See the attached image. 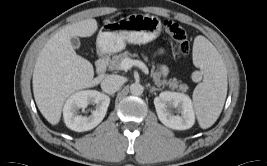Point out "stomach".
I'll return each mask as SVG.
<instances>
[{
	"instance_id": "1",
	"label": "stomach",
	"mask_w": 267,
	"mask_h": 166,
	"mask_svg": "<svg viewBox=\"0 0 267 166\" xmlns=\"http://www.w3.org/2000/svg\"><path fill=\"white\" fill-rule=\"evenodd\" d=\"M161 30L160 19L148 14H131L118 21L106 22L97 36V51L112 54L123 50L126 42L145 44L155 40Z\"/></svg>"
}]
</instances>
